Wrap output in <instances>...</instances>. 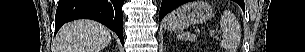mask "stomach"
Here are the masks:
<instances>
[{
  "mask_svg": "<svg viewBox=\"0 0 305 52\" xmlns=\"http://www.w3.org/2000/svg\"><path fill=\"white\" fill-rule=\"evenodd\" d=\"M212 13V6L208 2L193 1L169 13L164 19V25L168 30L181 31L191 25L207 21Z\"/></svg>",
  "mask_w": 305,
  "mask_h": 52,
  "instance_id": "1",
  "label": "stomach"
}]
</instances>
